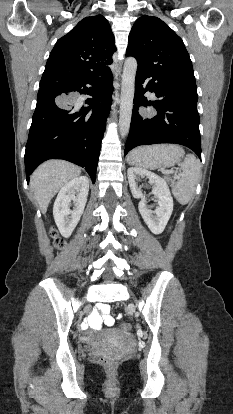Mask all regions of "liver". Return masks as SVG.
Masks as SVG:
<instances>
[{
  "label": "liver",
  "instance_id": "obj_1",
  "mask_svg": "<svg viewBox=\"0 0 233 414\" xmlns=\"http://www.w3.org/2000/svg\"><path fill=\"white\" fill-rule=\"evenodd\" d=\"M81 168L63 160H50L41 164L30 178V186L43 213L51 199L69 181L77 178Z\"/></svg>",
  "mask_w": 233,
  "mask_h": 414
}]
</instances>
